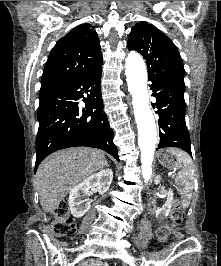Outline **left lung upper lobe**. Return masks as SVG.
<instances>
[{
	"label": "left lung upper lobe",
	"instance_id": "left-lung-upper-lobe-1",
	"mask_svg": "<svg viewBox=\"0 0 221 266\" xmlns=\"http://www.w3.org/2000/svg\"><path fill=\"white\" fill-rule=\"evenodd\" d=\"M129 50L144 56L150 79H159L185 89L182 58L173 42L146 21L135 24L127 42Z\"/></svg>",
	"mask_w": 221,
	"mask_h": 266
}]
</instances>
